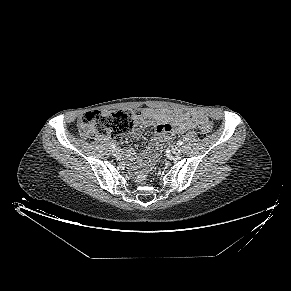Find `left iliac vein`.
<instances>
[{"label": "left iliac vein", "mask_w": 291, "mask_h": 291, "mask_svg": "<svg viewBox=\"0 0 291 291\" xmlns=\"http://www.w3.org/2000/svg\"><path fill=\"white\" fill-rule=\"evenodd\" d=\"M171 152L175 156H179L182 153V149L179 146H173L172 149H171Z\"/></svg>", "instance_id": "4c4485c4"}]
</instances>
